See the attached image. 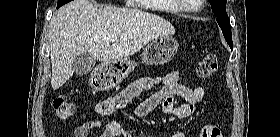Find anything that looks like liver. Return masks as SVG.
I'll use <instances>...</instances> for the list:
<instances>
[{
  "label": "liver",
  "instance_id": "obj_1",
  "mask_svg": "<svg viewBox=\"0 0 280 137\" xmlns=\"http://www.w3.org/2000/svg\"><path fill=\"white\" fill-rule=\"evenodd\" d=\"M174 33L168 21L138 9L71 1L50 22L51 86L57 90L66 83L80 54L88 53L101 62L127 59L150 41ZM112 36L118 39L110 45Z\"/></svg>",
  "mask_w": 280,
  "mask_h": 137
}]
</instances>
